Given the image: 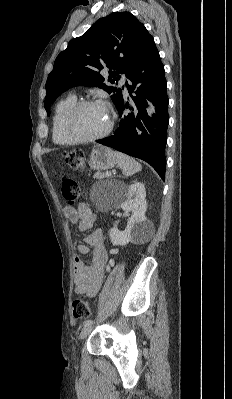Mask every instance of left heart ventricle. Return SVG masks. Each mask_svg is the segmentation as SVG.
<instances>
[{
  "label": "left heart ventricle",
  "mask_w": 232,
  "mask_h": 399,
  "mask_svg": "<svg viewBox=\"0 0 232 399\" xmlns=\"http://www.w3.org/2000/svg\"><path fill=\"white\" fill-rule=\"evenodd\" d=\"M110 112L107 106L96 104L81 108L73 119V129L81 137H95L109 126Z\"/></svg>",
  "instance_id": "1"
}]
</instances>
